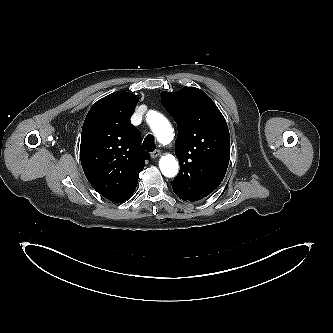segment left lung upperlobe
<instances>
[{
    "label": "left lung upper lobe",
    "instance_id": "left-lung-upper-lobe-1",
    "mask_svg": "<svg viewBox=\"0 0 333 333\" xmlns=\"http://www.w3.org/2000/svg\"><path fill=\"white\" fill-rule=\"evenodd\" d=\"M161 103L178 125L175 153L180 171L172 181L173 191L185 201L201 200L220 185L227 171L230 136L226 120L195 87L161 92Z\"/></svg>",
    "mask_w": 333,
    "mask_h": 333
}]
</instances>
